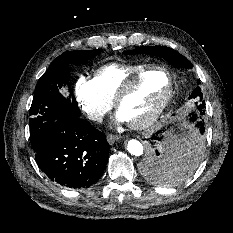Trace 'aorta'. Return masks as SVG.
Segmentation results:
<instances>
[{
	"instance_id": "762f6f07",
	"label": "aorta",
	"mask_w": 233,
	"mask_h": 233,
	"mask_svg": "<svg viewBox=\"0 0 233 233\" xmlns=\"http://www.w3.org/2000/svg\"><path fill=\"white\" fill-rule=\"evenodd\" d=\"M127 150L130 154L135 156H140L143 154V145L136 139H131L128 141Z\"/></svg>"
}]
</instances>
